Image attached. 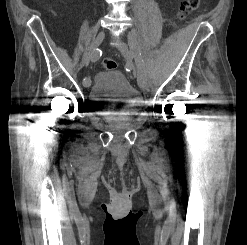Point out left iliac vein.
<instances>
[{"instance_id":"left-iliac-vein-1","label":"left iliac vein","mask_w":247,"mask_h":245,"mask_svg":"<svg viewBox=\"0 0 247 245\" xmlns=\"http://www.w3.org/2000/svg\"><path fill=\"white\" fill-rule=\"evenodd\" d=\"M129 34V33H128ZM119 50L121 52V54L128 60L131 61L132 58H130V50L129 48L124 44V43H120L119 45ZM134 69V67H133ZM134 73L137 74L138 76V71H136L134 69ZM138 84L142 89H148L149 88V81L145 75V77L143 79H139L138 78Z\"/></svg>"}]
</instances>
